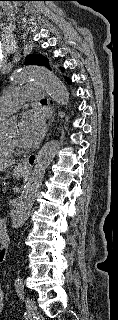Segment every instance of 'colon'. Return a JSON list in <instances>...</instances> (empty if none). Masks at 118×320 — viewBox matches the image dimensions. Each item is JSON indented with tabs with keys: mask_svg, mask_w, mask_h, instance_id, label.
Here are the masks:
<instances>
[{
	"mask_svg": "<svg viewBox=\"0 0 118 320\" xmlns=\"http://www.w3.org/2000/svg\"><path fill=\"white\" fill-rule=\"evenodd\" d=\"M3 260V254L0 252V262Z\"/></svg>",
	"mask_w": 118,
	"mask_h": 320,
	"instance_id": "obj_1",
	"label": "colon"
}]
</instances>
